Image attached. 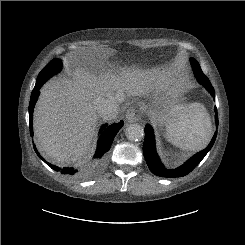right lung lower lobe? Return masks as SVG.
I'll return each instance as SVG.
<instances>
[{
    "instance_id": "right-lung-lower-lobe-1",
    "label": "right lung lower lobe",
    "mask_w": 245,
    "mask_h": 245,
    "mask_svg": "<svg viewBox=\"0 0 245 245\" xmlns=\"http://www.w3.org/2000/svg\"><path fill=\"white\" fill-rule=\"evenodd\" d=\"M46 79H39L37 78L36 85L32 91L31 94V100L29 103V126H30V134L33 136V109L35 106V103L38 99V96L40 94L39 89L44 84ZM123 121H120L119 123L112 124L107 127V125H103L100 129V136L97 143V150L95 155L93 156L92 160H90L87 164L83 165L81 168H59L55 165H52L48 162H46L42 156L37 151L35 145L34 150L37 153V155L46 163L48 164L53 170L55 171H61L63 174L71 175L75 178H89L92 175L96 174L100 169L102 168L106 153L110 149L112 142L114 140V137L118 133V131L122 128Z\"/></svg>"
}]
</instances>
